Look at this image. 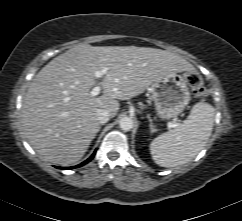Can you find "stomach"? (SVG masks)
<instances>
[{
    "mask_svg": "<svg viewBox=\"0 0 242 221\" xmlns=\"http://www.w3.org/2000/svg\"><path fill=\"white\" fill-rule=\"evenodd\" d=\"M150 93L157 115L162 120L179 115L190 101L187 74L162 76L151 84Z\"/></svg>",
    "mask_w": 242,
    "mask_h": 221,
    "instance_id": "stomach-1",
    "label": "stomach"
}]
</instances>
